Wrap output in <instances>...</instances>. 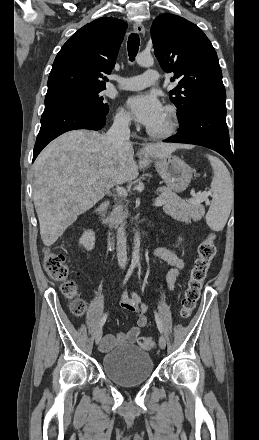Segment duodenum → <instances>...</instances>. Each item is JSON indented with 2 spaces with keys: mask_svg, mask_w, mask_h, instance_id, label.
Returning a JSON list of instances; mask_svg holds the SVG:
<instances>
[{
  "mask_svg": "<svg viewBox=\"0 0 259 440\" xmlns=\"http://www.w3.org/2000/svg\"><path fill=\"white\" fill-rule=\"evenodd\" d=\"M108 203H103L96 211V216L99 221L102 220L103 214L105 210L107 209Z\"/></svg>",
  "mask_w": 259,
  "mask_h": 440,
  "instance_id": "obj_1",
  "label": "duodenum"
}]
</instances>
